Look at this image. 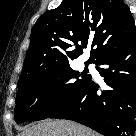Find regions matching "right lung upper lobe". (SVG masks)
Instances as JSON below:
<instances>
[{"mask_svg": "<svg viewBox=\"0 0 136 136\" xmlns=\"http://www.w3.org/2000/svg\"><path fill=\"white\" fill-rule=\"evenodd\" d=\"M136 36L135 22L122 0H64L38 18L31 31L19 80L70 64L91 44L88 63Z\"/></svg>", "mask_w": 136, "mask_h": 136, "instance_id": "obj_1", "label": "right lung upper lobe"}]
</instances>
